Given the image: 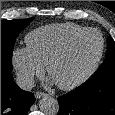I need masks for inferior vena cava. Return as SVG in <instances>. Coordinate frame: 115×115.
Segmentation results:
<instances>
[{"mask_svg":"<svg viewBox=\"0 0 115 115\" xmlns=\"http://www.w3.org/2000/svg\"><path fill=\"white\" fill-rule=\"evenodd\" d=\"M16 84L23 90H31L34 87V77L28 73H18Z\"/></svg>","mask_w":115,"mask_h":115,"instance_id":"obj_1","label":"inferior vena cava"}]
</instances>
